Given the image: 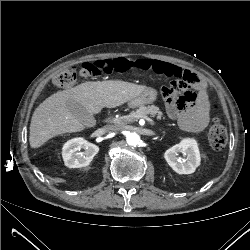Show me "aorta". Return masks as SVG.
I'll use <instances>...</instances> for the list:
<instances>
[{"instance_id": "obj_1", "label": "aorta", "mask_w": 250, "mask_h": 250, "mask_svg": "<svg viewBox=\"0 0 250 250\" xmlns=\"http://www.w3.org/2000/svg\"><path fill=\"white\" fill-rule=\"evenodd\" d=\"M126 140L130 146H136L140 143V136L137 133H130L127 135Z\"/></svg>"}]
</instances>
